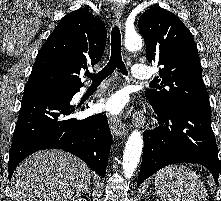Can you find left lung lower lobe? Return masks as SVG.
<instances>
[{
    "mask_svg": "<svg viewBox=\"0 0 221 201\" xmlns=\"http://www.w3.org/2000/svg\"><path fill=\"white\" fill-rule=\"evenodd\" d=\"M159 127L143 134L144 151L137 186L159 169L174 163H198L207 167L218 184L221 161L211 128L210 106L188 105L160 109Z\"/></svg>",
    "mask_w": 221,
    "mask_h": 201,
    "instance_id": "1",
    "label": "left lung lower lobe"
}]
</instances>
